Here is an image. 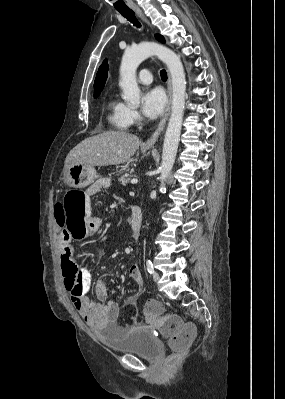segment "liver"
Listing matches in <instances>:
<instances>
[{
    "instance_id": "obj_1",
    "label": "liver",
    "mask_w": 285,
    "mask_h": 399,
    "mask_svg": "<svg viewBox=\"0 0 285 399\" xmlns=\"http://www.w3.org/2000/svg\"><path fill=\"white\" fill-rule=\"evenodd\" d=\"M140 139L125 131H105L86 138L67 155L65 165L78 162L91 166L126 163L140 146Z\"/></svg>"
}]
</instances>
